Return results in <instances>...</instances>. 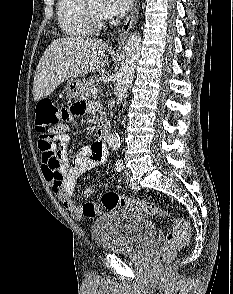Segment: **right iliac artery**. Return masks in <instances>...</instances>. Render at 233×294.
Wrapping results in <instances>:
<instances>
[{
    "instance_id": "1",
    "label": "right iliac artery",
    "mask_w": 233,
    "mask_h": 294,
    "mask_svg": "<svg viewBox=\"0 0 233 294\" xmlns=\"http://www.w3.org/2000/svg\"><path fill=\"white\" fill-rule=\"evenodd\" d=\"M115 166L118 172H121L124 169V164L121 161L116 162Z\"/></svg>"
}]
</instances>
